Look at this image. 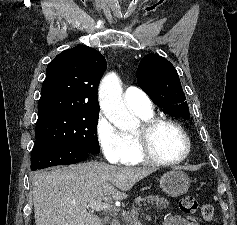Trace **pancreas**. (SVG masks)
Instances as JSON below:
<instances>
[{"label":"pancreas","mask_w":237,"mask_h":225,"mask_svg":"<svg viewBox=\"0 0 237 225\" xmlns=\"http://www.w3.org/2000/svg\"><path fill=\"white\" fill-rule=\"evenodd\" d=\"M147 202L150 205V207L155 204V206L159 209L166 208V206L169 204V202L166 199L157 195L149 196L147 198ZM144 206H146V204H144ZM140 207H141V204L136 202V206L133 207L130 213L128 212L127 214L122 215V218H121L122 222L125 225H135V223L138 222V218L140 215Z\"/></svg>","instance_id":"cf45deb5"}]
</instances>
